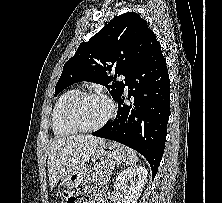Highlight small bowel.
<instances>
[{
  "label": "small bowel",
  "instance_id": "c3829d8e",
  "mask_svg": "<svg viewBox=\"0 0 222 203\" xmlns=\"http://www.w3.org/2000/svg\"><path fill=\"white\" fill-rule=\"evenodd\" d=\"M91 196H92V191L89 190V189H85V190H83L82 192H80L79 195L73 196V198H74L73 203H81V202H83V203H89V201H85V199H88V198H90ZM78 197L84 199V201H79V200H78ZM94 203H104V202L101 201V200H99V199H96V201H95Z\"/></svg>",
  "mask_w": 222,
  "mask_h": 203
}]
</instances>
